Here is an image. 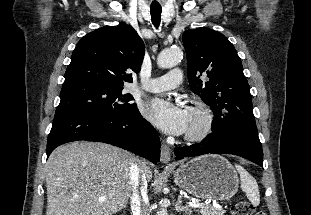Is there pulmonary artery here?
<instances>
[{
  "instance_id": "pulmonary-artery-1",
  "label": "pulmonary artery",
  "mask_w": 311,
  "mask_h": 215,
  "mask_svg": "<svg viewBox=\"0 0 311 215\" xmlns=\"http://www.w3.org/2000/svg\"><path fill=\"white\" fill-rule=\"evenodd\" d=\"M182 82V71L178 68L171 70L166 75L149 80L143 88L150 92L171 90Z\"/></svg>"
}]
</instances>
